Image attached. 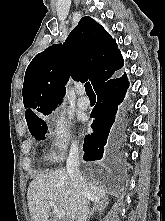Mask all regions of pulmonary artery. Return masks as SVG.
I'll use <instances>...</instances> for the list:
<instances>
[{"label": "pulmonary artery", "mask_w": 165, "mask_h": 221, "mask_svg": "<svg viewBox=\"0 0 165 221\" xmlns=\"http://www.w3.org/2000/svg\"><path fill=\"white\" fill-rule=\"evenodd\" d=\"M77 92H78V95H79V97L77 99V106L80 109H83V110L88 109L90 107V101L86 96H84V94H85L84 87L79 86L78 89H77Z\"/></svg>", "instance_id": "obj_1"}]
</instances>
